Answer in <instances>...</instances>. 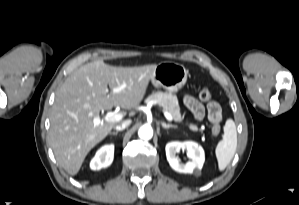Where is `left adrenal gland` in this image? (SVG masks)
Returning <instances> with one entry per match:
<instances>
[{
	"instance_id": "a2214340",
	"label": "left adrenal gland",
	"mask_w": 299,
	"mask_h": 205,
	"mask_svg": "<svg viewBox=\"0 0 299 205\" xmlns=\"http://www.w3.org/2000/svg\"><path fill=\"white\" fill-rule=\"evenodd\" d=\"M161 125L164 129H169V128H177L176 125H172V124H166L165 122H161Z\"/></svg>"
}]
</instances>
